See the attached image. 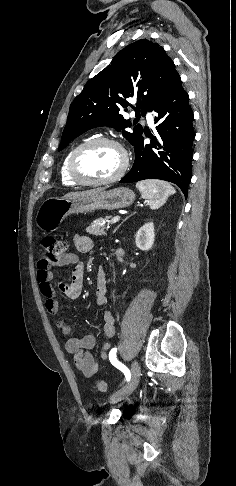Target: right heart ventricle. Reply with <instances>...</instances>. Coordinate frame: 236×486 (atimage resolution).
Returning <instances> with one entry per match:
<instances>
[{
    "mask_svg": "<svg viewBox=\"0 0 236 486\" xmlns=\"http://www.w3.org/2000/svg\"><path fill=\"white\" fill-rule=\"evenodd\" d=\"M77 146H74L72 147L68 153L66 154L65 158L63 159V162L61 164V169H60V176H61V181L64 185H67V186H76L78 185V183H76L70 176H69V173H68V161H69V158L73 152V150L76 148Z\"/></svg>",
    "mask_w": 236,
    "mask_h": 486,
    "instance_id": "right-heart-ventricle-1",
    "label": "right heart ventricle"
}]
</instances>
